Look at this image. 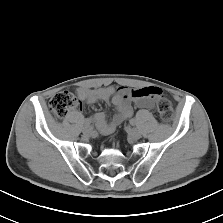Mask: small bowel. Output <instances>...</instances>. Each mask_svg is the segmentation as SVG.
I'll use <instances>...</instances> for the list:
<instances>
[{
  "label": "small bowel",
  "instance_id": "small-bowel-1",
  "mask_svg": "<svg viewBox=\"0 0 223 223\" xmlns=\"http://www.w3.org/2000/svg\"><path fill=\"white\" fill-rule=\"evenodd\" d=\"M155 87H141L130 89L128 87L107 86L96 89L79 88L77 96L81 102L94 104L96 102H106L112 104L117 113L110 121H107L105 112H98L94 115L96 127L102 134H110L133 114V105L141 109H152V90Z\"/></svg>",
  "mask_w": 223,
  "mask_h": 223
}]
</instances>
